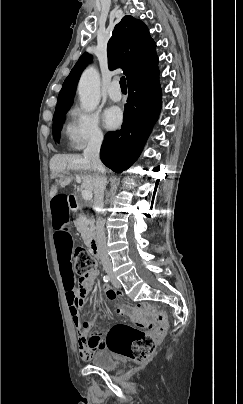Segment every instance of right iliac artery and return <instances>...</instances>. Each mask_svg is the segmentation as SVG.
<instances>
[{"mask_svg":"<svg viewBox=\"0 0 243 404\" xmlns=\"http://www.w3.org/2000/svg\"><path fill=\"white\" fill-rule=\"evenodd\" d=\"M103 280H104L105 282H109V281H110V276H109V275H105V276L103 277Z\"/></svg>","mask_w":243,"mask_h":404,"instance_id":"obj_1","label":"right iliac artery"}]
</instances>
